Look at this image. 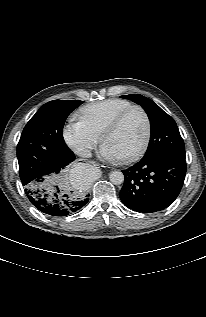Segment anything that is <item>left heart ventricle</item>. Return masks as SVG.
I'll return each mask as SVG.
<instances>
[{
  "mask_svg": "<svg viewBox=\"0 0 206 317\" xmlns=\"http://www.w3.org/2000/svg\"><path fill=\"white\" fill-rule=\"evenodd\" d=\"M145 133L144 117L138 110L132 111L121 125L104 141L120 157L130 154L141 144Z\"/></svg>",
  "mask_w": 206,
  "mask_h": 317,
  "instance_id": "b2bd125f",
  "label": "left heart ventricle"
}]
</instances>
